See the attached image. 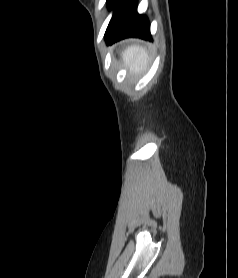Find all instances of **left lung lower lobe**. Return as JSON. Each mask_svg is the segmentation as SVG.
I'll return each mask as SVG.
<instances>
[{"label":"left lung lower lobe","instance_id":"obj_1","mask_svg":"<svg viewBox=\"0 0 238 278\" xmlns=\"http://www.w3.org/2000/svg\"><path fill=\"white\" fill-rule=\"evenodd\" d=\"M107 4L114 9L105 33L108 44L128 37L151 40L149 21L137 13V0H107Z\"/></svg>","mask_w":238,"mask_h":278}]
</instances>
